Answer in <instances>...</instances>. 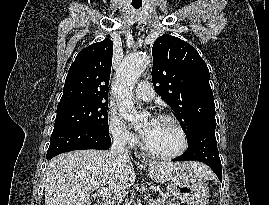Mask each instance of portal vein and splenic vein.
<instances>
[{
	"label": "portal vein and splenic vein",
	"instance_id": "obj_1",
	"mask_svg": "<svg viewBox=\"0 0 269 205\" xmlns=\"http://www.w3.org/2000/svg\"><path fill=\"white\" fill-rule=\"evenodd\" d=\"M97 195L98 196H101V197H104V198H109L112 196V194L109 192L108 188L107 187H103L102 189H99L97 191ZM127 202V200H126ZM151 204V203H150Z\"/></svg>",
	"mask_w": 269,
	"mask_h": 205
}]
</instances>
